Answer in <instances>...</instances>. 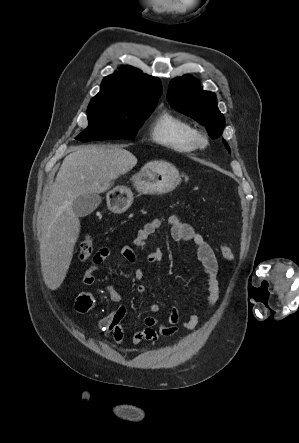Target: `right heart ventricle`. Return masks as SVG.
Wrapping results in <instances>:
<instances>
[{
	"mask_svg": "<svg viewBox=\"0 0 299 443\" xmlns=\"http://www.w3.org/2000/svg\"><path fill=\"white\" fill-rule=\"evenodd\" d=\"M196 128L186 119L163 111L151 128V138L157 144L178 153H192L196 150L194 135Z\"/></svg>",
	"mask_w": 299,
	"mask_h": 443,
	"instance_id": "right-heart-ventricle-1",
	"label": "right heart ventricle"
}]
</instances>
